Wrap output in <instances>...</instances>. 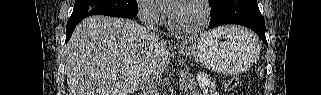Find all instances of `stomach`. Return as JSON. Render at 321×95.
<instances>
[{"label": "stomach", "mask_w": 321, "mask_h": 95, "mask_svg": "<svg viewBox=\"0 0 321 95\" xmlns=\"http://www.w3.org/2000/svg\"><path fill=\"white\" fill-rule=\"evenodd\" d=\"M256 36L240 27L218 28L201 37L185 51L197 63L217 73L234 75L250 67L259 57Z\"/></svg>", "instance_id": "1"}]
</instances>
